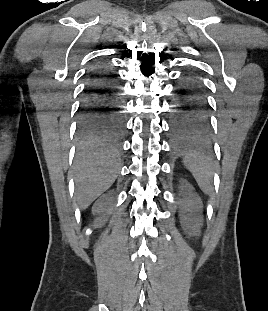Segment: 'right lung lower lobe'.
Returning a JSON list of instances; mask_svg holds the SVG:
<instances>
[{
  "label": "right lung lower lobe",
  "instance_id": "obj_1",
  "mask_svg": "<svg viewBox=\"0 0 268 311\" xmlns=\"http://www.w3.org/2000/svg\"><path fill=\"white\" fill-rule=\"evenodd\" d=\"M106 65L94 69L79 108L78 132L83 139L119 140L125 130L123 98Z\"/></svg>",
  "mask_w": 268,
  "mask_h": 311
}]
</instances>
